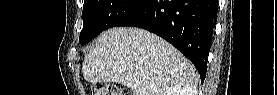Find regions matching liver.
<instances>
[{
	"instance_id": "obj_1",
	"label": "liver",
	"mask_w": 277,
	"mask_h": 95,
	"mask_svg": "<svg viewBox=\"0 0 277 95\" xmlns=\"http://www.w3.org/2000/svg\"><path fill=\"white\" fill-rule=\"evenodd\" d=\"M82 73L90 83H119L133 95H164L176 85L197 92L195 67L167 41L133 27L102 33L85 56Z\"/></svg>"
}]
</instances>
